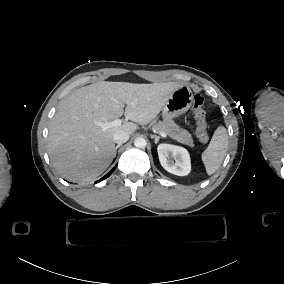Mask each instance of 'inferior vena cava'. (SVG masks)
Segmentation results:
<instances>
[{
  "instance_id": "inferior-vena-cava-1",
  "label": "inferior vena cava",
  "mask_w": 284,
  "mask_h": 284,
  "mask_svg": "<svg viewBox=\"0 0 284 284\" xmlns=\"http://www.w3.org/2000/svg\"><path fill=\"white\" fill-rule=\"evenodd\" d=\"M129 136L126 132H117L114 134L113 140L118 144H123L129 140Z\"/></svg>"
}]
</instances>
